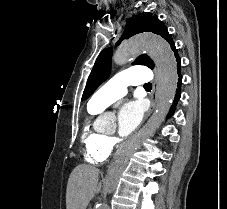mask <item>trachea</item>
Segmentation results:
<instances>
[{
	"label": "trachea",
	"mask_w": 227,
	"mask_h": 209,
	"mask_svg": "<svg viewBox=\"0 0 227 209\" xmlns=\"http://www.w3.org/2000/svg\"><path fill=\"white\" fill-rule=\"evenodd\" d=\"M144 87H152V84L148 82L147 84H144Z\"/></svg>",
	"instance_id": "3493384b"
}]
</instances>
